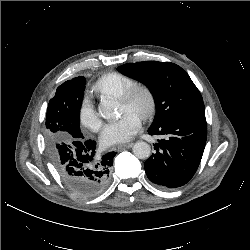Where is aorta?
Instances as JSON below:
<instances>
[{
    "label": "aorta",
    "mask_w": 250,
    "mask_h": 250,
    "mask_svg": "<svg viewBox=\"0 0 250 250\" xmlns=\"http://www.w3.org/2000/svg\"><path fill=\"white\" fill-rule=\"evenodd\" d=\"M116 104L111 99H103L99 106V115L105 119L116 115ZM133 154L139 159H147L151 154V147L148 143L139 141L132 148Z\"/></svg>",
    "instance_id": "762f6f07"
}]
</instances>
